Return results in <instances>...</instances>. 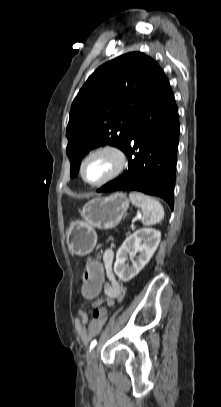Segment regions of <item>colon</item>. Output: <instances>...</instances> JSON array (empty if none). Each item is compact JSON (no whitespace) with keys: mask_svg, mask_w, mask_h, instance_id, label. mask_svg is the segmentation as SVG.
I'll use <instances>...</instances> for the list:
<instances>
[{"mask_svg":"<svg viewBox=\"0 0 221 407\" xmlns=\"http://www.w3.org/2000/svg\"><path fill=\"white\" fill-rule=\"evenodd\" d=\"M103 263L100 258H91L86 263V271L83 272L82 292L80 298L82 300H94L98 297L97 292H103L105 284V273L103 271ZM93 316L96 318H106L108 316V307L104 305H96L93 310Z\"/></svg>","mask_w":221,"mask_h":407,"instance_id":"5ec220e1","label":"colon"}]
</instances>
